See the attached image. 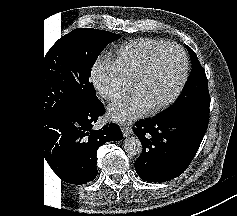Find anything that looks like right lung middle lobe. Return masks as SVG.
Segmentation results:
<instances>
[{
    "label": "right lung middle lobe",
    "mask_w": 237,
    "mask_h": 216,
    "mask_svg": "<svg viewBox=\"0 0 237 216\" xmlns=\"http://www.w3.org/2000/svg\"><path fill=\"white\" fill-rule=\"evenodd\" d=\"M119 37L104 30L78 28L56 42L59 50L58 60H55L60 72L56 89L62 109L98 99L93 84L89 82L91 69L101 51ZM42 76L44 86V69Z\"/></svg>",
    "instance_id": "1"
}]
</instances>
